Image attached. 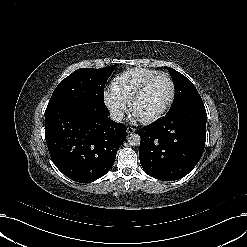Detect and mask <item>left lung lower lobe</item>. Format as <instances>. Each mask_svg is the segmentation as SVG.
I'll list each match as a JSON object with an SVG mask.
<instances>
[{
    "instance_id": "obj_1",
    "label": "left lung lower lobe",
    "mask_w": 247,
    "mask_h": 247,
    "mask_svg": "<svg viewBox=\"0 0 247 247\" xmlns=\"http://www.w3.org/2000/svg\"><path fill=\"white\" fill-rule=\"evenodd\" d=\"M206 121V110L200 99L139 130V158L144 171L165 181L186 176L204 151Z\"/></svg>"
}]
</instances>
